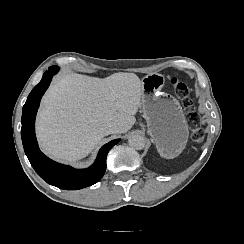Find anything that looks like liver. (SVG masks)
Instances as JSON below:
<instances>
[{
  "mask_svg": "<svg viewBox=\"0 0 244 244\" xmlns=\"http://www.w3.org/2000/svg\"><path fill=\"white\" fill-rule=\"evenodd\" d=\"M142 81L134 73L106 79L79 74L60 77L45 95L37 120L42 149L55 159L85 157L113 123L128 132L140 108Z\"/></svg>",
  "mask_w": 244,
  "mask_h": 244,
  "instance_id": "obj_1",
  "label": "liver"
}]
</instances>
